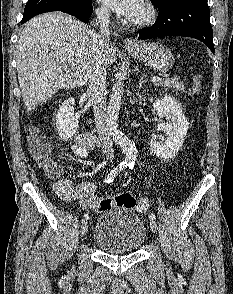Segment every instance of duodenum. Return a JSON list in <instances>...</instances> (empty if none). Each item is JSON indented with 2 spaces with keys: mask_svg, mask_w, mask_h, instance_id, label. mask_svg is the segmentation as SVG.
Returning a JSON list of instances; mask_svg holds the SVG:
<instances>
[{
  "mask_svg": "<svg viewBox=\"0 0 233 294\" xmlns=\"http://www.w3.org/2000/svg\"><path fill=\"white\" fill-rule=\"evenodd\" d=\"M80 137L88 146H95L98 143V140L92 133H82Z\"/></svg>",
  "mask_w": 233,
  "mask_h": 294,
  "instance_id": "duodenum-1",
  "label": "duodenum"
}]
</instances>
